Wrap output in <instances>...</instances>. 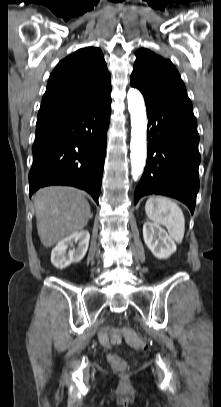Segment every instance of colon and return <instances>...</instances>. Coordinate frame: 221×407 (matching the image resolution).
I'll use <instances>...</instances> for the list:
<instances>
[{
	"label": "colon",
	"instance_id": "obj_1",
	"mask_svg": "<svg viewBox=\"0 0 221 407\" xmlns=\"http://www.w3.org/2000/svg\"><path fill=\"white\" fill-rule=\"evenodd\" d=\"M122 338H124L127 343L134 348H147L146 340L127 326L121 327L119 329L104 328L99 333V341L103 346L106 347L111 346L113 343L119 342ZM108 359L113 368L118 370L125 368V362L120 356L111 354Z\"/></svg>",
	"mask_w": 221,
	"mask_h": 407
}]
</instances>
